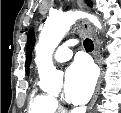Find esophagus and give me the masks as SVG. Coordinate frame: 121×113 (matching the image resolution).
Instances as JSON below:
<instances>
[{
	"label": "esophagus",
	"instance_id": "34e87169",
	"mask_svg": "<svg viewBox=\"0 0 121 113\" xmlns=\"http://www.w3.org/2000/svg\"><path fill=\"white\" fill-rule=\"evenodd\" d=\"M77 3L82 10H84L86 8L84 1L78 0ZM83 26L88 30V32H89V34H90V36L93 40V43H94V52H93L94 59L102 70V61H101L100 45H99L98 37H97L96 33L93 31V29H92V27H91V25L89 24L88 21H84ZM102 77H103V70H102L101 75L99 77V80H98V83L96 85V89H95L93 98H92V100L89 104L88 110L92 109L93 105L95 104V102L98 98L101 83H102Z\"/></svg>",
	"mask_w": 121,
	"mask_h": 113
}]
</instances>
